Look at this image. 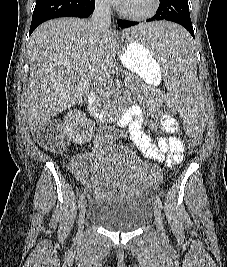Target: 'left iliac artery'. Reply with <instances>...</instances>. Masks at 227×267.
Segmentation results:
<instances>
[{
    "label": "left iliac artery",
    "instance_id": "44dca946",
    "mask_svg": "<svg viewBox=\"0 0 227 267\" xmlns=\"http://www.w3.org/2000/svg\"><path fill=\"white\" fill-rule=\"evenodd\" d=\"M156 204L159 206V208L162 209V201L160 200V198L158 197V195H156Z\"/></svg>",
    "mask_w": 227,
    "mask_h": 267
}]
</instances>
